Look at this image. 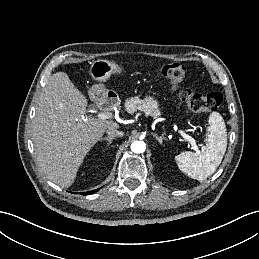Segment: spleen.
<instances>
[{"instance_id": "spleen-1", "label": "spleen", "mask_w": 259, "mask_h": 259, "mask_svg": "<svg viewBox=\"0 0 259 259\" xmlns=\"http://www.w3.org/2000/svg\"><path fill=\"white\" fill-rule=\"evenodd\" d=\"M206 146L198 152H183L175 157L179 169L189 177L203 181L221 164L227 148L225 122L218 112L208 118Z\"/></svg>"}]
</instances>
